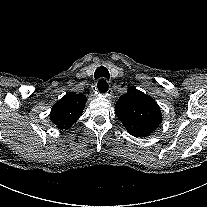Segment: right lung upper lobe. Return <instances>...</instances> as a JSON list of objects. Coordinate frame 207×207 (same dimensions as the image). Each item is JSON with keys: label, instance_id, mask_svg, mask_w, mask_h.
<instances>
[{"label": "right lung upper lobe", "instance_id": "cb5924a9", "mask_svg": "<svg viewBox=\"0 0 207 207\" xmlns=\"http://www.w3.org/2000/svg\"><path fill=\"white\" fill-rule=\"evenodd\" d=\"M86 96L68 92L51 109L50 118L58 128L69 129L80 118L85 103Z\"/></svg>", "mask_w": 207, "mask_h": 207}]
</instances>
